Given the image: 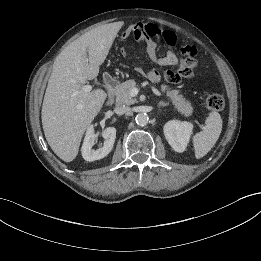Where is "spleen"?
<instances>
[{"instance_id":"obj_1","label":"spleen","mask_w":261,"mask_h":261,"mask_svg":"<svg viewBox=\"0 0 261 261\" xmlns=\"http://www.w3.org/2000/svg\"><path fill=\"white\" fill-rule=\"evenodd\" d=\"M222 130V119L218 112L209 113L204 130L193 136L195 157H204L217 142Z\"/></svg>"}]
</instances>
